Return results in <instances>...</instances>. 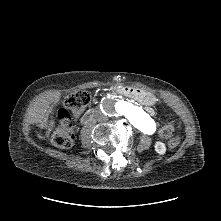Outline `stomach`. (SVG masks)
<instances>
[{"instance_id": "0dacf381", "label": "stomach", "mask_w": 221, "mask_h": 221, "mask_svg": "<svg viewBox=\"0 0 221 221\" xmlns=\"http://www.w3.org/2000/svg\"><path fill=\"white\" fill-rule=\"evenodd\" d=\"M127 92L141 101H146L153 98V95L150 92L141 89L129 88Z\"/></svg>"}]
</instances>
